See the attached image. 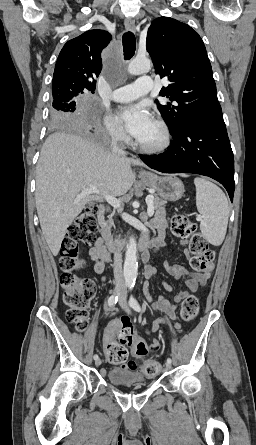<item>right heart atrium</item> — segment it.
Returning a JSON list of instances; mask_svg holds the SVG:
<instances>
[{"mask_svg": "<svg viewBox=\"0 0 256 445\" xmlns=\"http://www.w3.org/2000/svg\"><path fill=\"white\" fill-rule=\"evenodd\" d=\"M104 126L111 139L115 141H124L126 139V134L123 128L113 116L106 115L104 117Z\"/></svg>", "mask_w": 256, "mask_h": 445, "instance_id": "d8ad5b80", "label": "right heart atrium"}]
</instances>
